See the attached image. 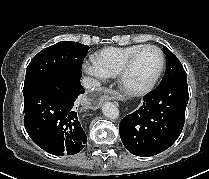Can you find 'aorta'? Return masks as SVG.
Segmentation results:
<instances>
[{
  "instance_id": "aorta-1",
  "label": "aorta",
  "mask_w": 209,
  "mask_h": 179,
  "mask_svg": "<svg viewBox=\"0 0 209 179\" xmlns=\"http://www.w3.org/2000/svg\"><path fill=\"white\" fill-rule=\"evenodd\" d=\"M103 114L110 119H117L119 117V110L112 102H106L102 106Z\"/></svg>"
}]
</instances>
